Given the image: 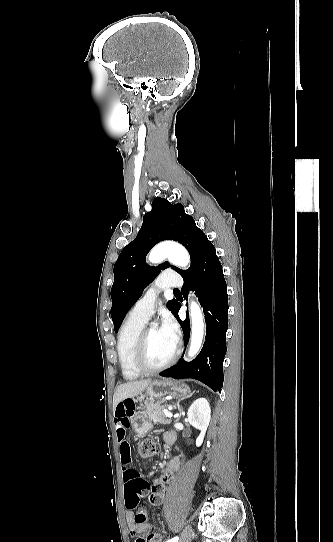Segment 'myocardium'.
<instances>
[{
    "label": "myocardium",
    "instance_id": "f54148a6",
    "mask_svg": "<svg viewBox=\"0 0 333 542\" xmlns=\"http://www.w3.org/2000/svg\"><path fill=\"white\" fill-rule=\"evenodd\" d=\"M149 329L150 327H146L140 332L133 349L134 368L141 374L146 375L158 373L171 366L175 363L181 351V343L177 342L175 350L168 360L159 365H150L147 362V340Z\"/></svg>",
    "mask_w": 333,
    "mask_h": 542
}]
</instances>
